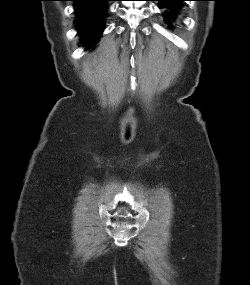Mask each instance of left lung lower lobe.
Instances as JSON below:
<instances>
[{
	"label": "left lung lower lobe",
	"instance_id": "left-lung-lower-lobe-1",
	"mask_svg": "<svg viewBox=\"0 0 250 285\" xmlns=\"http://www.w3.org/2000/svg\"><path fill=\"white\" fill-rule=\"evenodd\" d=\"M155 1H159L160 8L167 9L164 12V18L170 27L171 21L175 20L176 16L178 15L181 9V3L183 1H188V0H155Z\"/></svg>",
	"mask_w": 250,
	"mask_h": 285
}]
</instances>
